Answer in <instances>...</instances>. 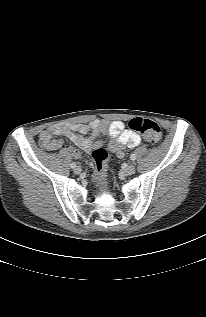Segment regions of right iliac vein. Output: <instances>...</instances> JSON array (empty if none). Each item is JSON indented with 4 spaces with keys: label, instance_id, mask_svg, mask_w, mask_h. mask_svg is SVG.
I'll return each mask as SVG.
<instances>
[{
    "label": "right iliac vein",
    "instance_id": "right-iliac-vein-1",
    "mask_svg": "<svg viewBox=\"0 0 206 317\" xmlns=\"http://www.w3.org/2000/svg\"><path fill=\"white\" fill-rule=\"evenodd\" d=\"M81 171H82V169L79 166L74 169L75 174H80Z\"/></svg>",
    "mask_w": 206,
    "mask_h": 317
}]
</instances>
